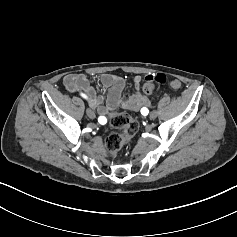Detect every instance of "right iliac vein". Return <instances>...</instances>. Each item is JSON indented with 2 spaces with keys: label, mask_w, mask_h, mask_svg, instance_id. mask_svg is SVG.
<instances>
[{
  "label": "right iliac vein",
  "mask_w": 237,
  "mask_h": 237,
  "mask_svg": "<svg viewBox=\"0 0 237 237\" xmlns=\"http://www.w3.org/2000/svg\"><path fill=\"white\" fill-rule=\"evenodd\" d=\"M86 114L91 119H94L96 117V114H95L94 110H92V109H87Z\"/></svg>",
  "instance_id": "63e3f726"
}]
</instances>
